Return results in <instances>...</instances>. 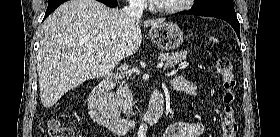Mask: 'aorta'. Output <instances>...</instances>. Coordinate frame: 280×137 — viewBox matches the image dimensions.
Here are the masks:
<instances>
[{
    "label": "aorta",
    "instance_id": "1",
    "mask_svg": "<svg viewBox=\"0 0 280 137\" xmlns=\"http://www.w3.org/2000/svg\"><path fill=\"white\" fill-rule=\"evenodd\" d=\"M146 135H147V125L142 123L139 126V130L137 132V137H146Z\"/></svg>",
    "mask_w": 280,
    "mask_h": 137
}]
</instances>
